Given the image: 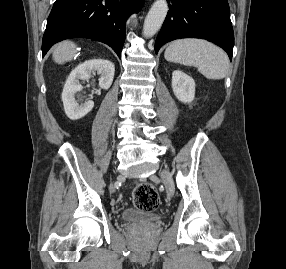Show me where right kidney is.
I'll return each mask as SVG.
<instances>
[{
  "label": "right kidney",
  "instance_id": "ca27d5eb",
  "mask_svg": "<svg viewBox=\"0 0 286 269\" xmlns=\"http://www.w3.org/2000/svg\"><path fill=\"white\" fill-rule=\"evenodd\" d=\"M95 71L101 74L99 78L100 88L109 89L113 82L115 67L111 61L102 59H94L80 64L70 73L65 83L62 101L65 113L71 120L84 117L94 107V102L91 100H87L79 105L75 99V95L82 90L79 80H88L91 77V73Z\"/></svg>",
  "mask_w": 286,
  "mask_h": 269
}]
</instances>
